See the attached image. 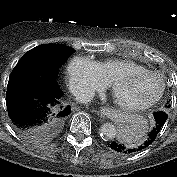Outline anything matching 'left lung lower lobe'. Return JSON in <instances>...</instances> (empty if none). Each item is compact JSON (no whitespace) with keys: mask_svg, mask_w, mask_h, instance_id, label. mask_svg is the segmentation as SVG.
Masks as SVG:
<instances>
[{"mask_svg":"<svg viewBox=\"0 0 177 177\" xmlns=\"http://www.w3.org/2000/svg\"><path fill=\"white\" fill-rule=\"evenodd\" d=\"M154 118H155L154 127L150 132V134L148 135L147 139L143 143L139 144L136 147H129L117 142H112L110 145L111 149L118 153L130 154V153L141 151L146 147H148L150 144H152L155 141L157 135L161 131L162 127L164 126L168 118V115L165 111H159L154 113Z\"/></svg>","mask_w":177,"mask_h":177,"instance_id":"0a47b994","label":"left lung lower lobe"}]
</instances>
